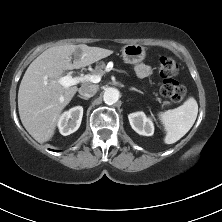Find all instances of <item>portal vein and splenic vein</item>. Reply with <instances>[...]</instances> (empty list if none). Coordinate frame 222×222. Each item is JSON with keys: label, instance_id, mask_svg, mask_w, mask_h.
<instances>
[{"label": "portal vein and splenic vein", "instance_id": "portal-vein-and-splenic-vein-1", "mask_svg": "<svg viewBox=\"0 0 222 222\" xmlns=\"http://www.w3.org/2000/svg\"><path fill=\"white\" fill-rule=\"evenodd\" d=\"M100 80H101V76L96 75V74H93V75L86 74L84 76H77V77H72L71 74H68L66 76L61 77L59 79V83L63 87L68 88L70 86L77 85L82 82L99 83Z\"/></svg>", "mask_w": 222, "mask_h": 222}]
</instances>
